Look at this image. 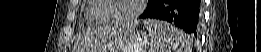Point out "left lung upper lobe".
Listing matches in <instances>:
<instances>
[{
  "label": "left lung upper lobe",
  "instance_id": "obj_1",
  "mask_svg": "<svg viewBox=\"0 0 261 52\" xmlns=\"http://www.w3.org/2000/svg\"><path fill=\"white\" fill-rule=\"evenodd\" d=\"M153 0H149V4L152 2Z\"/></svg>",
  "mask_w": 261,
  "mask_h": 52
}]
</instances>
